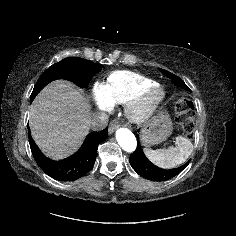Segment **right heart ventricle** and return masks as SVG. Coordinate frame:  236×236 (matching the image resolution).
Segmentation results:
<instances>
[{
    "label": "right heart ventricle",
    "instance_id": "1",
    "mask_svg": "<svg viewBox=\"0 0 236 236\" xmlns=\"http://www.w3.org/2000/svg\"><path fill=\"white\" fill-rule=\"evenodd\" d=\"M156 83L152 78L136 72L115 71L107 77L105 82L106 101L112 106L126 104L141 90Z\"/></svg>",
    "mask_w": 236,
    "mask_h": 236
}]
</instances>
